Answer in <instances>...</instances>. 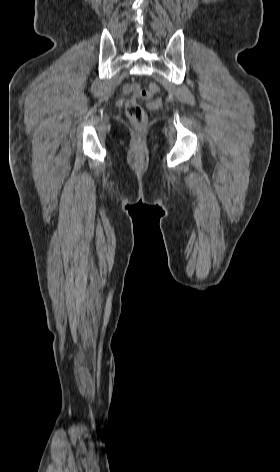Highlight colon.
<instances>
[{
    "mask_svg": "<svg viewBox=\"0 0 280 472\" xmlns=\"http://www.w3.org/2000/svg\"><path fill=\"white\" fill-rule=\"evenodd\" d=\"M160 91L157 83L151 82L145 87L137 89L126 101L125 111L129 120L138 128L145 126L147 115L139 104V99H152Z\"/></svg>",
    "mask_w": 280,
    "mask_h": 472,
    "instance_id": "colon-1",
    "label": "colon"
}]
</instances>
